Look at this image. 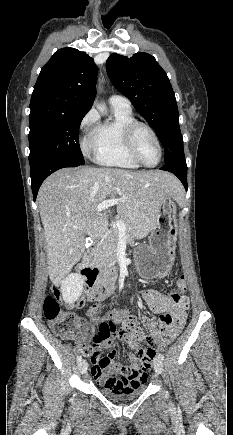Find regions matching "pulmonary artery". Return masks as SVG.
Instances as JSON below:
<instances>
[{
    "label": "pulmonary artery",
    "instance_id": "1",
    "mask_svg": "<svg viewBox=\"0 0 233 435\" xmlns=\"http://www.w3.org/2000/svg\"><path fill=\"white\" fill-rule=\"evenodd\" d=\"M110 104L113 106H118L125 109L131 108V102L128 98L120 94H113L110 96Z\"/></svg>",
    "mask_w": 233,
    "mask_h": 435
}]
</instances>
